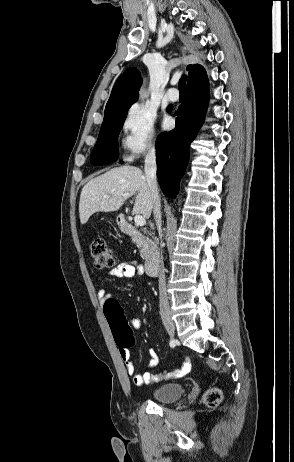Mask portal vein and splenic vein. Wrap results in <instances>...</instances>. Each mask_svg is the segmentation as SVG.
I'll use <instances>...</instances> for the list:
<instances>
[{"mask_svg":"<svg viewBox=\"0 0 294 462\" xmlns=\"http://www.w3.org/2000/svg\"><path fill=\"white\" fill-rule=\"evenodd\" d=\"M104 198H109V195H104ZM134 222L137 226H144L146 224V220L141 215H136L134 217Z\"/></svg>","mask_w":294,"mask_h":462,"instance_id":"18ae733b","label":"portal vein and splenic vein"}]
</instances>
